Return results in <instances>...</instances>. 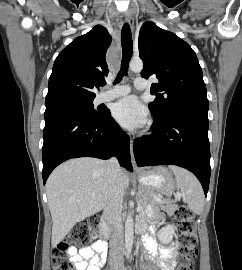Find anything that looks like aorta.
I'll list each match as a JSON object with an SVG mask.
<instances>
[{
    "instance_id": "1",
    "label": "aorta",
    "mask_w": 242,
    "mask_h": 270,
    "mask_svg": "<svg viewBox=\"0 0 242 270\" xmlns=\"http://www.w3.org/2000/svg\"><path fill=\"white\" fill-rule=\"evenodd\" d=\"M129 67L133 72H141L143 69V62L141 59H133L129 63ZM133 217L129 212L125 221V249L129 254L131 252L134 240V232H133Z\"/></svg>"
}]
</instances>
